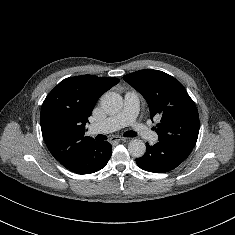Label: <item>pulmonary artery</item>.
Segmentation results:
<instances>
[{"mask_svg":"<svg viewBox=\"0 0 235 235\" xmlns=\"http://www.w3.org/2000/svg\"><path fill=\"white\" fill-rule=\"evenodd\" d=\"M139 110V95L135 91H128L124 96V105L122 110L105 120L95 123L90 127L92 134L109 133L118 130L124 126L130 125L143 137L151 142H156L158 136L156 133L148 130L146 126L136 121Z\"/></svg>","mask_w":235,"mask_h":235,"instance_id":"e3ab8cb5","label":"pulmonary artery"}]
</instances>
